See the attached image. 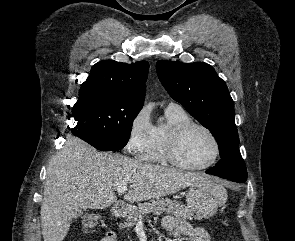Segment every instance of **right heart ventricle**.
Returning <instances> with one entry per match:
<instances>
[{
  "label": "right heart ventricle",
  "instance_id": "e07e8e85",
  "mask_svg": "<svg viewBox=\"0 0 295 241\" xmlns=\"http://www.w3.org/2000/svg\"><path fill=\"white\" fill-rule=\"evenodd\" d=\"M167 122L153 127L151 142L142 155V158L150 162L165 161L163 147L167 132L175 125L191 121L190 116L179 108H166Z\"/></svg>",
  "mask_w": 295,
  "mask_h": 241
}]
</instances>
